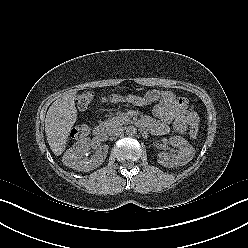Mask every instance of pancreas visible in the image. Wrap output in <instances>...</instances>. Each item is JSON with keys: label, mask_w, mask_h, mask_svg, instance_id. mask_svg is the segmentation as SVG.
<instances>
[{"label": "pancreas", "mask_w": 248, "mask_h": 248, "mask_svg": "<svg viewBox=\"0 0 248 248\" xmlns=\"http://www.w3.org/2000/svg\"><path fill=\"white\" fill-rule=\"evenodd\" d=\"M130 121H131L130 117L122 113L116 117H112L111 119H108L107 121H105L104 125L107 126L108 128H114L117 126H121L123 124H127Z\"/></svg>", "instance_id": "pancreas-1"}]
</instances>
